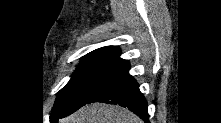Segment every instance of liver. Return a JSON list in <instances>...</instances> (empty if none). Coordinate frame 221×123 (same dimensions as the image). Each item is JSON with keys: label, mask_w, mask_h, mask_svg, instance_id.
<instances>
[{"label": "liver", "mask_w": 221, "mask_h": 123, "mask_svg": "<svg viewBox=\"0 0 221 123\" xmlns=\"http://www.w3.org/2000/svg\"><path fill=\"white\" fill-rule=\"evenodd\" d=\"M60 123H142L132 112L119 106L94 103L59 120Z\"/></svg>", "instance_id": "6515ba94"}]
</instances>
